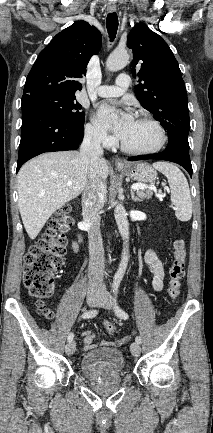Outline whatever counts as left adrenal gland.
<instances>
[{"label":"left adrenal gland","mask_w":213,"mask_h":433,"mask_svg":"<svg viewBox=\"0 0 213 433\" xmlns=\"http://www.w3.org/2000/svg\"><path fill=\"white\" fill-rule=\"evenodd\" d=\"M131 199H132L134 202H141V201H142L140 198H138V197L135 196V193H134L133 190H131Z\"/></svg>","instance_id":"left-adrenal-gland-1"}]
</instances>
